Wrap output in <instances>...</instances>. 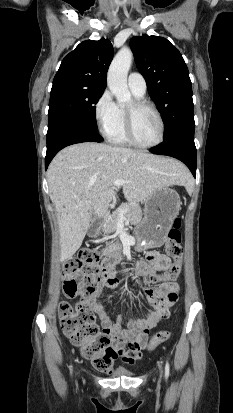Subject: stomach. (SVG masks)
<instances>
[{
    "instance_id": "1",
    "label": "stomach",
    "mask_w": 233,
    "mask_h": 413,
    "mask_svg": "<svg viewBox=\"0 0 233 413\" xmlns=\"http://www.w3.org/2000/svg\"><path fill=\"white\" fill-rule=\"evenodd\" d=\"M179 194L166 186L156 189L144 202V218L136 236L147 247H161L180 210Z\"/></svg>"
}]
</instances>
